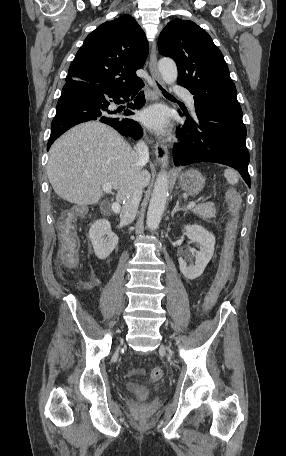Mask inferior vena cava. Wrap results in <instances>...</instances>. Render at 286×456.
I'll return each instance as SVG.
<instances>
[{"label":"inferior vena cava","instance_id":"1","mask_svg":"<svg viewBox=\"0 0 286 456\" xmlns=\"http://www.w3.org/2000/svg\"><path fill=\"white\" fill-rule=\"evenodd\" d=\"M135 151L138 155V165L142 167L149 159V150L144 141H140L135 146ZM142 197V183L140 179H135L125 199L123 200L122 209L120 212L121 222L129 224L134 221L138 210L139 203Z\"/></svg>","mask_w":286,"mask_h":456}]
</instances>
